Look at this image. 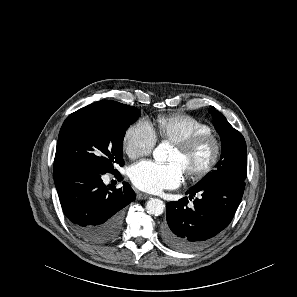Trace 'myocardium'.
<instances>
[{
  "mask_svg": "<svg viewBox=\"0 0 297 297\" xmlns=\"http://www.w3.org/2000/svg\"><path fill=\"white\" fill-rule=\"evenodd\" d=\"M210 142L213 145V154L209 162L199 171L186 172L187 178L190 181L198 182L207 178L217 167L222 156V143L220 138L212 133H202L194 135L185 140L174 143V146L183 154L187 155L197 149L202 144Z\"/></svg>",
  "mask_w": 297,
  "mask_h": 297,
  "instance_id": "f54148a6",
  "label": "myocardium"
}]
</instances>
